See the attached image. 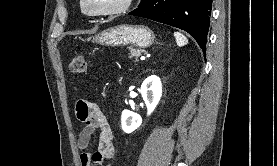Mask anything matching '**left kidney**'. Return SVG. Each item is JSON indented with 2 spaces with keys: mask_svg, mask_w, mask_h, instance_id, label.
Instances as JSON below:
<instances>
[{
  "mask_svg": "<svg viewBox=\"0 0 277 166\" xmlns=\"http://www.w3.org/2000/svg\"><path fill=\"white\" fill-rule=\"evenodd\" d=\"M142 98L147 106V114L150 115L158 105L162 96V83L159 77L151 75L141 85ZM142 124L140 115L124 110L121 115V125L125 133H132Z\"/></svg>",
  "mask_w": 277,
  "mask_h": 166,
  "instance_id": "left-kidney-1",
  "label": "left kidney"
}]
</instances>
